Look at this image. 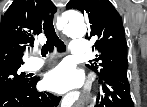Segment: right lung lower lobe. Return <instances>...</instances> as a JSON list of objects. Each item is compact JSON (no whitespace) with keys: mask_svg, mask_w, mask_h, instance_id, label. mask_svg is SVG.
Returning <instances> with one entry per match:
<instances>
[{"mask_svg":"<svg viewBox=\"0 0 147 107\" xmlns=\"http://www.w3.org/2000/svg\"><path fill=\"white\" fill-rule=\"evenodd\" d=\"M33 78L27 85L0 93V107H57L61 97L50 93L38 92Z\"/></svg>","mask_w":147,"mask_h":107,"instance_id":"obj_1","label":"right lung lower lobe"}]
</instances>
